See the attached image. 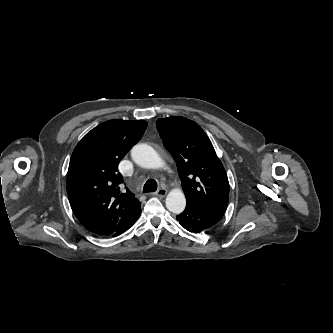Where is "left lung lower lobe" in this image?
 <instances>
[{
  "label": "left lung lower lobe",
  "mask_w": 333,
  "mask_h": 333,
  "mask_svg": "<svg viewBox=\"0 0 333 333\" xmlns=\"http://www.w3.org/2000/svg\"><path fill=\"white\" fill-rule=\"evenodd\" d=\"M222 217L223 214L221 213L204 211L187 203L185 210L177 215L176 219L186 230L198 233L212 227Z\"/></svg>",
  "instance_id": "1"
}]
</instances>
